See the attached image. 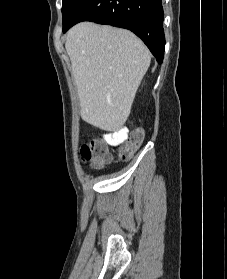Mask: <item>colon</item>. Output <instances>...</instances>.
Wrapping results in <instances>:
<instances>
[{
	"instance_id": "5ec220e1",
	"label": "colon",
	"mask_w": 227,
	"mask_h": 279,
	"mask_svg": "<svg viewBox=\"0 0 227 279\" xmlns=\"http://www.w3.org/2000/svg\"><path fill=\"white\" fill-rule=\"evenodd\" d=\"M144 139L142 130H134L126 141L120 146L119 158L126 160L130 158ZM81 160L83 163L100 167L111 160V154L107 147L99 139H94L81 148Z\"/></svg>"
}]
</instances>
